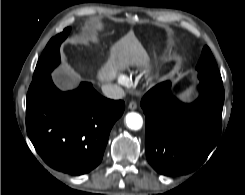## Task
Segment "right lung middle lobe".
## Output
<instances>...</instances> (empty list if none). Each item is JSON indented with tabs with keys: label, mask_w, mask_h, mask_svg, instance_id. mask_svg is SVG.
<instances>
[{
	"label": "right lung middle lobe",
	"mask_w": 245,
	"mask_h": 195,
	"mask_svg": "<svg viewBox=\"0 0 245 195\" xmlns=\"http://www.w3.org/2000/svg\"><path fill=\"white\" fill-rule=\"evenodd\" d=\"M70 28L53 37L43 51L33 75V81L50 75L51 71L60 63V44L67 38Z\"/></svg>",
	"instance_id": "right-lung-middle-lobe-1"
}]
</instances>
